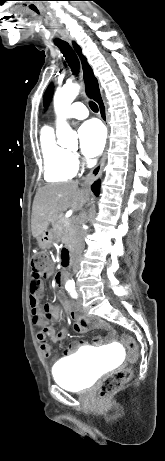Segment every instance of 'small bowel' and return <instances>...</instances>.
<instances>
[{
    "mask_svg": "<svg viewBox=\"0 0 165 461\" xmlns=\"http://www.w3.org/2000/svg\"><path fill=\"white\" fill-rule=\"evenodd\" d=\"M46 276H49V274ZM63 277V271H56V277H54V284L58 287H61L63 283ZM59 301L61 308L65 310L71 318L75 319L76 322L74 328L76 331L84 333L89 329H100L107 332V339L109 341H111L114 338L115 332L109 324L102 320L87 319L78 311L73 310L70 302L66 300L64 297H60ZM29 305L31 310L32 322L34 325L40 328L36 335V339L39 343L40 350L46 358H51L52 348L51 345L48 343V339L53 343H60L68 335V330L66 328H62L58 332H56L54 328L53 322L57 320L60 316V307L53 305L51 303H47L42 308H40L39 296L36 295L32 290L29 297ZM101 342L102 340L100 338L94 339L95 344H99ZM85 345L86 342L82 340L74 341L66 349L65 355L71 354Z\"/></svg>",
    "mask_w": 165,
    "mask_h": 461,
    "instance_id": "1",
    "label": "small bowel"
}]
</instances>
